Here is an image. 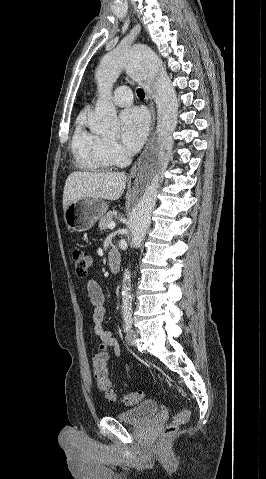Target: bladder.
Segmentation results:
<instances>
[{
  "label": "bladder",
  "mask_w": 266,
  "mask_h": 479,
  "mask_svg": "<svg viewBox=\"0 0 266 479\" xmlns=\"http://www.w3.org/2000/svg\"><path fill=\"white\" fill-rule=\"evenodd\" d=\"M158 411L159 405L154 401L147 400L114 416L123 423L143 424L156 416Z\"/></svg>",
  "instance_id": "obj_1"
}]
</instances>
